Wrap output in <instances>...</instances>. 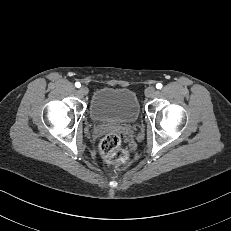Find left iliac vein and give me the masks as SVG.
Returning a JSON list of instances; mask_svg holds the SVG:
<instances>
[{
    "instance_id": "left-iliac-vein-1",
    "label": "left iliac vein",
    "mask_w": 231,
    "mask_h": 231,
    "mask_svg": "<svg viewBox=\"0 0 231 231\" xmlns=\"http://www.w3.org/2000/svg\"><path fill=\"white\" fill-rule=\"evenodd\" d=\"M157 90L155 87L150 86L145 90V96L146 97H152L156 94Z\"/></svg>"
}]
</instances>
